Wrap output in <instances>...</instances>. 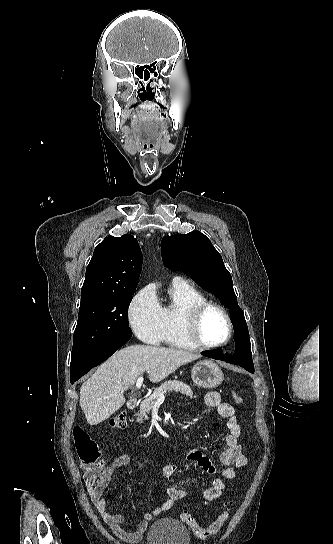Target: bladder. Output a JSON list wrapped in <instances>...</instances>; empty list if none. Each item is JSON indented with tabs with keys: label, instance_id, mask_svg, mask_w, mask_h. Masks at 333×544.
Segmentation results:
<instances>
[{
	"label": "bladder",
	"instance_id": "1",
	"mask_svg": "<svg viewBox=\"0 0 333 544\" xmlns=\"http://www.w3.org/2000/svg\"><path fill=\"white\" fill-rule=\"evenodd\" d=\"M147 544H190L186 526L173 518H161L153 523L147 533Z\"/></svg>",
	"mask_w": 333,
	"mask_h": 544
}]
</instances>
